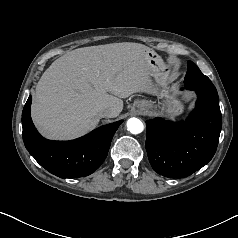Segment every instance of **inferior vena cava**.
Returning <instances> with one entry per match:
<instances>
[{
	"mask_svg": "<svg viewBox=\"0 0 238 238\" xmlns=\"http://www.w3.org/2000/svg\"><path fill=\"white\" fill-rule=\"evenodd\" d=\"M99 115L101 117H111L113 115V110L111 108H101L99 110Z\"/></svg>",
	"mask_w": 238,
	"mask_h": 238,
	"instance_id": "1",
	"label": "inferior vena cava"
}]
</instances>
